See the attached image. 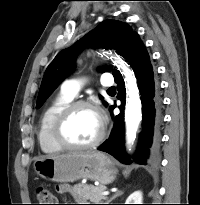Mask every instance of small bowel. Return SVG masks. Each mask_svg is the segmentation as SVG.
Here are the masks:
<instances>
[{"instance_id":"c3829d8e","label":"small bowel","mask_w":200,"mask_h":205,"mask_svg":"<svg viewBox=\"0 0 200 205\" xmlns=\"http://www.w3.org/2000/svg\"><path fill=\"white\" fill-rule=\"evenodd\" d=\"M57 190L59 193L61 194H65V193H69L71 191V188L69 185L67 184H60L58 187H57Z\"/></svg>"}]
</instances>
